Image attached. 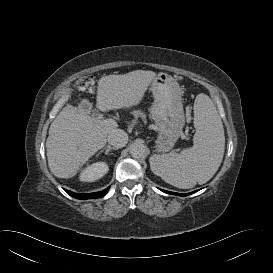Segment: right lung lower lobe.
Segmentation results:
<instances>
[{"instance_id":"obj_1","label":"right lung lower lobe","mask_w":273,"mask_h":273,"mask_svg":"<svg viewBox=\"0 0 273 273\" xmlns=\"http://www.w3.org/2000/svg\"><path fill=\"white\" fill-rule=\"evenodd\" d=\"M110 187L106 188L103 191H99V192H95V193H83V194H78V193H74L72 191L69 190H65L70 196L76 198V199H96V198H101L103 197L109 190Z\"/></svg>"}]
</instances>
